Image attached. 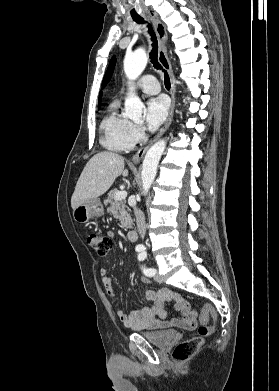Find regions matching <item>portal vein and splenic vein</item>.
Returning <instances> with one entry per match:
<instances>
[{"instance_id": "obj_1", "label": "portal vein and splenic vein", "mask_w": 279, "mask_h": 391, "mask_svg": "<svg viewBox=\"0 0 279 391\" xmlns=\"http://www.w3.org/2000/svg\"><path fill=\"white\" fill-rule=\"evenodd\" d=\"M126 197H127V191L121 190V191L116 192L114 199L115 200H123Z\"/></svg>"}]
</instances>
